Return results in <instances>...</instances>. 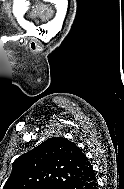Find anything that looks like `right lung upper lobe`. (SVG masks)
<instances>
[{
    "label": "right lung upper lobe",
    "mask_w": 124,
    "mask_h": 189,
    "mask_svg": "<svg viewBox=\"0 0 124 189\" xmlns=\"http://www.w3.org/2000/svg\"><path fill=\"white\" fill-rule=\"evenodd\" d=\"M88 158L75 143L62 137L50 138L13 162L3 189H40L65 186L90 167Z\"/></svg>",
    "instance_id": "obj_1"
}]
</instances>
